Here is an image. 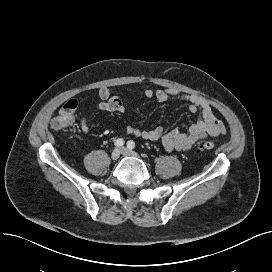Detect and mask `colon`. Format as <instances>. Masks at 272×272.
Segmentation results:
<instances>
[{
    "instance_id": "colon-1",
    "label": "colon",
    "mask_w": 272,
    "mask_h": 272,
    "mask_svg": "<svg viewBox=\"0 0 272 272\" xmlns=\"http://www.w3.org/2000/svg\"><path fill=\"white\" fill-rule=\"evenodd\" d=\"M71 108H62L59 113L51 122V128L53 130H63L72 125V118L70 114ZM201 150H211L214 148V144L210 141H205L199 144Z\"/></svg>"
}]
</instances>
